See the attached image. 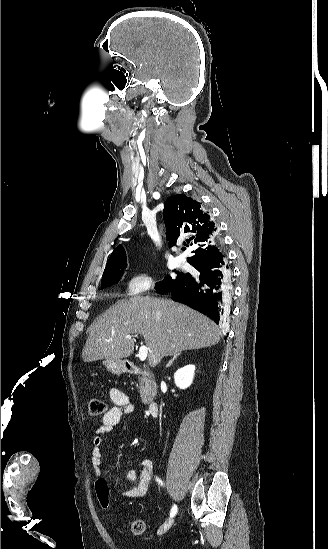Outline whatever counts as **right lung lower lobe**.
<instances>
[{
    "label": "right lung lower lobe",
    "instance_id": "98d812e1",
    "mask_svg": "<svg viewBox=\"0 0 328 549\" xmlns=\"http://www.w3.org/2000/svg\"><path fill=\"white\" fill-rule=\"evenodd\" d=\"M198 272L160 292L207 315L216 324H223L222 297L228 288L229 270L225 257L193 266Z\"/></svg>",
    "mask_w": 328,
    "mask_h": 549
}]
</instances>
